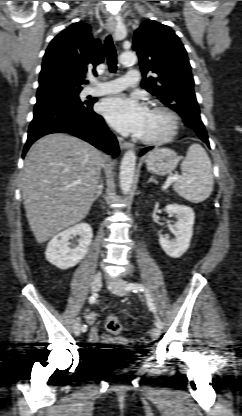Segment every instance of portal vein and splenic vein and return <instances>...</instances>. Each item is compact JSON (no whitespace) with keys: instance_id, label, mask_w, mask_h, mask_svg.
<instances>
[{"instance_id":"1","label":"portal vein and splenic vein","mask_w":242,"mask_h":416,"mask_svg":"<svg viewBox=\"0 0 242 416\" xmlns=\"http://www.w3.org/2000/svg\"><path fill=\"white\" fill-rule=\"evenodd\" d=\"M179 178V176L178 175H174V176H171V177H169L168 179H167V181H166V183H165V185L163 186V189L164 190H166L168 187H169V185L174 181V180H176V179H178Z\"/></svg>"}]
</instances>
